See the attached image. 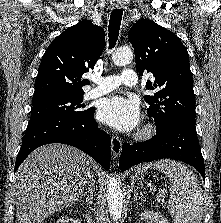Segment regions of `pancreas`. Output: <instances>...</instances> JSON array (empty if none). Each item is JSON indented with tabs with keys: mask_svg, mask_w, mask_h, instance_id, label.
<instances>
[{
	"mask_svg": "<svg viewBox=\"0 0 221 223\" xmlns=\"http://www.w3.org/2000/svg\"><path fill=\"white\" fill-rule=\"evenodd\" d=\"M164 198L165 196L162 193L157 194V200L159 203L163 204L164 203Z\"/></svg>",
	"mask_w": 221,
	"mask_h": 223,
	"instance_id": "cf45deb5",
	"label": "pancreas"
}]
</instances>
